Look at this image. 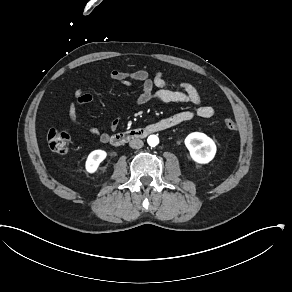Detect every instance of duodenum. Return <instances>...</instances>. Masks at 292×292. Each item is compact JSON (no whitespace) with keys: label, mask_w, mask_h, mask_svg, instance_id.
Listing matches in <instances>:
<instances>
[{"label":"duodenum","mask_w":292,"mask_h":292,"mask_svg":"<svg viewBox=\"0 0 292 292\" xmlns=\"http://www.w3.org/2000/svg\"><path fill=\"white\" fill-rule=\"evenodd\" d=\"M162 127V124L155 123L152 125H149L147 127L138 128V129H129L126 131L118 132L114 135H112L109 138V141L111 144L115 146L122 145L123 143L132 140V139H141L147 136L150 133L154 132H161L160 128Z\"/></svg>","instance_id":"410a0bca"}]
</instances>
